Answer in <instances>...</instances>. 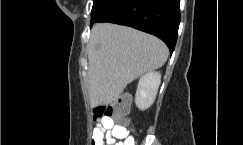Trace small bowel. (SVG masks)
Masks as SVG:
<instances>
[{
  "label": "small bowel",
  "instance_id": "obj_1",
  "mask_svg": "<svg viewBox=\"0 0 243 145\" xmlns=\"http://www.w3.org/2000/svg\"><path fill=\"white\" fill-rule=\"evenodd\" d=\"M92 145H135V141L126 128L102 118L93 130Z\"/></svg>",
  "mask_w": 243,
  "mask_h": 145
}]
</instances>
